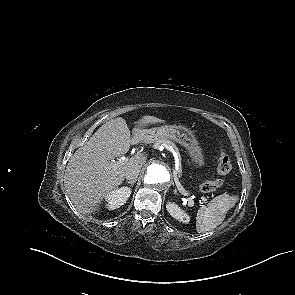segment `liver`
<instances>
[{"label": "liver", "mask_w": 295, "mask_h": 295, "mask_svg": "<svg viewBox=\"0 0 295 295\" xmlns=\"http://www.w3.org/2000/svg\"><path fill=\"white\" fill-rule=\"evenodd\" d=\"M163 122L154 116H143L133 128L131 137L123 118L111 119L74 153L68 161L64 183L80 213L86 215L99 211L102 201L123 183L125 172L132 167L141 169L146 162L143 154H136L119 167H114L110 160L127 153L131 144L143 141L144 131L148 129L141 127Z\"/></svg>", "instance_id": "obj_1"}]
</instances>
